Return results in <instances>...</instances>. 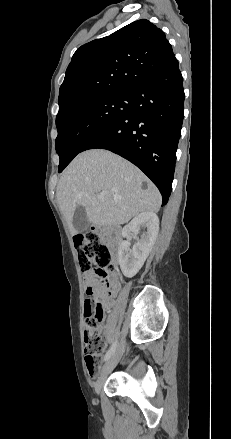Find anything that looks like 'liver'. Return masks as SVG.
I'll use <instances>...</instances> for the list:
<instances>
[{
    "label": "liver",
    "mask_w": 231,
    "mask_h": 439,
    "mask_svg": "<svg viewBox=\"0 0 231 439\" xmlns=\"http://www.w3.org/2000/svg\"><path fill=\"white\" fill-rule=\"evenodd\" d=\"M56 195L72 235L79 232L73 225L78 206L90 223L118 226L140 213L158 212L162 203L157 187L136 166L104 149L77 155L62 173Z\"/></svg>",
    "instance_id": "liver-1"
}]
</instances>
